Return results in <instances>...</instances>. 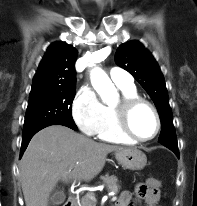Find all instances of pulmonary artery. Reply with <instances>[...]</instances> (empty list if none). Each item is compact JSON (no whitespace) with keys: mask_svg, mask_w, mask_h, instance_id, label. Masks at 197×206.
<instances>
[{"mask_svg":"<svg viewBox=\"0 0 197 206\" xmlns=\"http://www.w3.org/2000/svg\"><path fill=\"white\" fill-rule=\"evenodd\" d=\"M109 75L111 80L117 85H122V86L134 85L133 78L131 77V75L119 67L112 68L110 70Z\"/></svg>","mask_w":197,"mask_h":206,"instance_id":"obj_1","label":"pulmonary artery"}]
</instances>
